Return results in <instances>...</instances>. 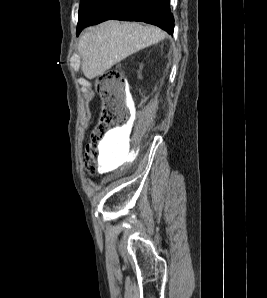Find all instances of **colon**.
<instances>
[{
    "label": "colon",
    "mask_w": 267,
    "mask_h": 298,
    "mask_svg": "<svg viewBox=\"0 0 267 298\" xmlns=\"http://www.w3.org/2000/svg\"><path fill=\"white\" fill-rule=\"evenodd\" d=\"M97 88L103 106L98 123L91 132V141L84 157V168L89 174L95 173L98 168V156L108 134L124 126L127 122L122 74L116 70L107 71L98 79Z\"/></svg>",
    "instance_id": "colon-1"
}]
</instances>
